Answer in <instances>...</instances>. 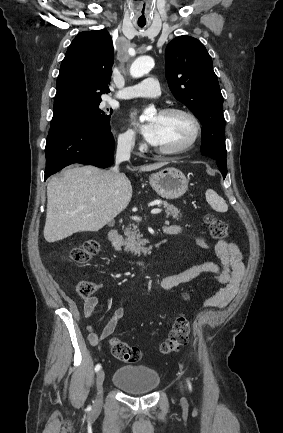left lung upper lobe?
Segmentation results:
<instances>
[{
	"mask_svg": "<svg viewBox=\"0 0 283 433\" xmlns=\"http://www.w3.org/2000/svg\"><path fill=\"white\" fill-rule=\"evenodd\" d=\"M165 64L171 92L200 120L202 134L217 133L225 139L223 97L204 45L193 37L179 36L167 45Z\"/></svg>",
	"mask_w": 283,
	"mask_h": 433,
	"instance_id": "left-lung-upper-lobe-1",
	"label": "left lung upper lobe"
}]
</instances>
